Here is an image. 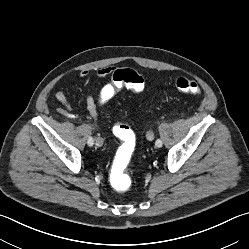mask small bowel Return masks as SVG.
Returning <instances> with one entry per match:
<instances>
[{
	"instance_id": "c3829d8e",
	"label": "small bowel",
	"mask_w": 249,
	"mask_h": 249,
	"mask_svg": "<svg viewBox=\"0 0 249 249\" xmlns=\"http://www.w3.org/2000/svg\"><path fill=\"white\" fill-rule=\"evenodd\" d=\"M115 68L112 66H104L97 70L96 77L98 79H105L109 76H112ZM73 79L83 80L85 85H89L90 83V73L88 70H81L73 75ZM115 93V89L112 85V82L106 83L103 85L98 94H88L85 99V107L88 113V116L94 122H99L100 113L99 107L107 102ZM56 100L63 106L62 113L68 117L76 118L77 115L74 114V110L71 102L69 101L67 95L64 91H57L55 94Z\"/></svg>"
}]
</instances>
